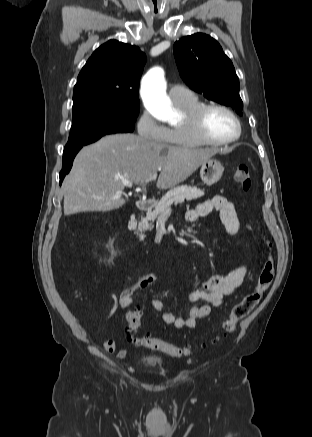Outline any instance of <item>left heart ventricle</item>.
<instances>
[{
	"mask_svg": "<svg viewBox=\"0 0 312 437\" xmlns=\"http://www.w3.org/2000/svg\"><path fill=\"white\" fill-rule=\"evenodd\" d=\"M236 123L233 118L220 109L210 110L204 119V130L215 140H225L236 133Z\"/></svg>",
	"mask_w": 312,
	"mask_h": 437,
	"instance_id": "obj_1",
	"label": "left heart ventricle"
}]
</instances>
